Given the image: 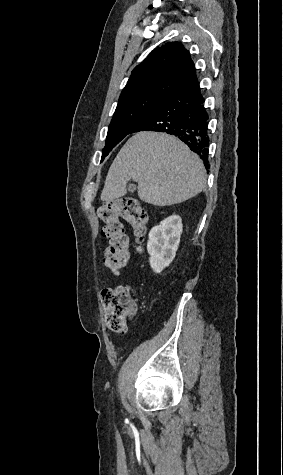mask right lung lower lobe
Masks as SVG:
<instances>
[{"label":"right lung lower lobe","mask_w":283,"mask_h":475,"mask_svg":"<svg viewBox=\"0 0 283 475\" xmlns=\"http://www.w3.org/2000/svg\"><path fill=\"white\" fill-rule=\"evenodd\" d=\"M204 101L197 79L189 81L173 90L129 134L158 131L177 136L197 153L204 161L205 167L209 168V116Z\"/></svg>","instance_id":"98d812e1"}]
</instances>
